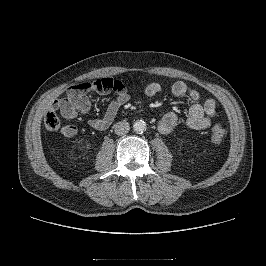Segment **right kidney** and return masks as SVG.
I'll return each mask as SVG.
<instances>
[{"instance_id": "1", "label": "right kidney", "mask_w": 266, "mask_h": 266, "mask_svg": "<svg viewBox=\"0 0 266 266\" xmlns=\"http://www.w3.org/2000/svg\"><path fill=\"white\" fill-rule=\"evenodd\" d=\"M82 148H83V147H80V146H79V149H80V150H81Z\"/></svg>"}]
</instances>
